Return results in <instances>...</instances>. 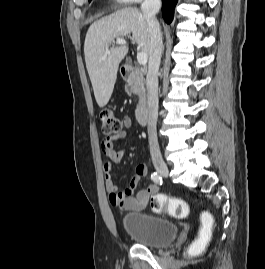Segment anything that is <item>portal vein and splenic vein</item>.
I'll use <instances>...</instances> for the list:
<instances>
[{"label":"portal vein and splenic vein","mask_w":265,"mask_h":269,"mask_svg":"<svg viewBox=\"0 0 265 269\" xmlns=\"http://www.w3.org/2000/svg\"><path fill=\"white\" fill-rule=\"evenodd\" d=\"M116 44L118 45H125L126 41L122 38H117L116 39ZM109 53V50L106 49V54ZM148 60V55L144 52H139L137 53V61L140 65H146Z\"/></svg>","instance_id":"1"}]
</instances>
